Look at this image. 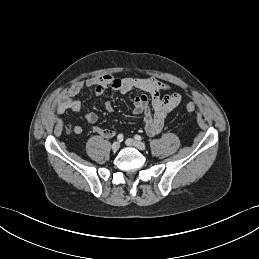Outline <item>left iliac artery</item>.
I'll return each instance as SVG.
<instances>
[{
    "mask_svg": "<svg viewBox=\"0 0 259 259\" xmlns=\"http://www.w3.org/2000/svg\"><path fill=\"white\" fill-rule=\"evenodd\" d=\"M134 138L139 141L142 140V137L140 135H135Z\"/></svg>",
    "mask_w": 259,
    "mask_h": 259,
    "instance_id": "1",
    "label": "left iliac artery"
}]
</instances>
